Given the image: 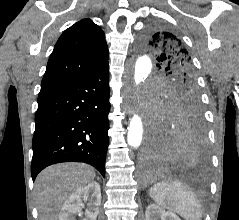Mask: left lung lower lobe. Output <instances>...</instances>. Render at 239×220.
Segmentation results:
<instances>
[{"mask_svg": "<svg viewBox=\"0 0 239 220\" xmlns=\"http://www.w3.org/2000/svg\"><path fill=\"white\" fill-rule=\"evenodd\" d=\"M202 112L193 109L153 114L141 169L155 174L174 163L196 164L207 158Z\"/></svg>", "mask_w": 239, "mask_h": 220, "instance_id": "0a47b994", "label": "left lung lower lobe"}]
</instances>
